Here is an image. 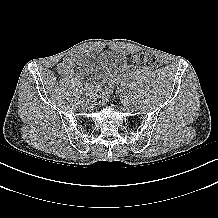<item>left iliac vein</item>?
<instances>
[{
  "label": "left iliac vein",
  "instance_id": "1",
  "mask_svg": "<svg viewBox=\"0 0 218 218\" xmlns=\"http://www.w3.org/2000/svg\"><path fill=\"white\" fill-rule=\"evenodd\" d=\"M123 106L125 107V108H130V106H131V101L129 100V99H124L123 100Z\"/></svg>",
  "mask_w": 218,
  "mask_h": 218
}]
</instances>
